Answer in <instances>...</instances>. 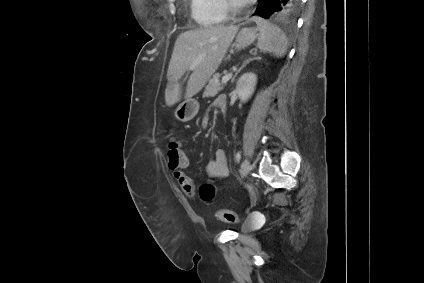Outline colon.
<instances>
[{
  "mask_svg": "<svg viewBox=\"0 0 424 283\" xmlns=\"http://www.w3.org/2000/svg\"><path fill=\"white\" fill-rule=\"evenodd\" d=\"M168 164L176 168L184 163V157L181 151V148L178 144V142L173 138L170 137L169 145H168ZM215 194V186L212 182H207L201 185L200 187V195L203 200L210 201L213 199ZM218 218L226 223H236L238 220V217L235 212L221 209L217 213Z\"/></svg>",
  "mask_w": 424,
  "mask_h": 283,
  "instance_id": "1",
  "label": "colon"
}]
</instances>
